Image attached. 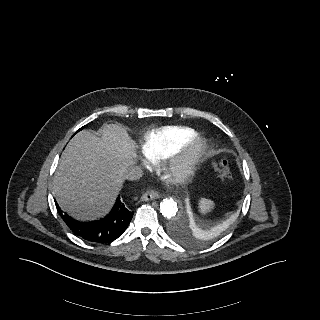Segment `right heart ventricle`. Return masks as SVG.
Wrapping results in <instances>:
<instances>
[{
    "label": "right heart ventricle",
    "instance_id": "right-heart-ventricle-1",
    "mask_svg": "<svg viewBox=\"0 0 320 320\" xmlns=\"http://www.w3.org/2000/svg\"><path fill=\"white\" fill-rule=\"evenodd\" d=\"M193 136L195 131L191 128L163 127L149 133L142 141L141 149L148 159L158 162L178 153Z\"/></svg>",
    "mask_w": 320,
    "mask_h": 320
}]
</instances>
